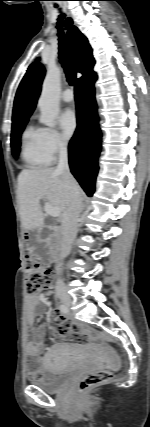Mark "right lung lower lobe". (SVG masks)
<instances>
[{
  "instance_id": "right-lung-lower-lobe-1",
  "label": "right lung lower lobe",
  "mask_w": 150,
  "mask_h": 427,
  "mask_svg": "<svg viewBox=\"0 0 150 427\" xmlns=\"http://www.w3.org/2000/svg\"><path fill=\"white\" fill-rule=\"evenodd\" d=\"M96 75L76 82L77 129L69 147V165L88 196H92L98 172L101 132L98 126L94 81Z\"/></svg>"
}]
</instances>
